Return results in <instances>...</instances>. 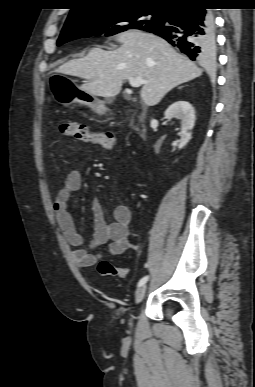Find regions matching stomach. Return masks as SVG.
<instances>
[{"label": "stomach", "instance_id": "1", "mask_svg": "<svg viewBox=\"0 0 255 387\" xmlns=\"http://www.w3.org/2000/svg\"><path fill=\"white\" fill-rule=\"evenodd\" d=\"M50 82H52V93L56 101L63 105L79 102L92 108L96 113L103 114L106 111L105 102L99 100L88 92L76 88L72 80L61 78L56 70L50 71Z\"/></svg>", "mask_w": 255, "mask_h": 387}]
</instances>
